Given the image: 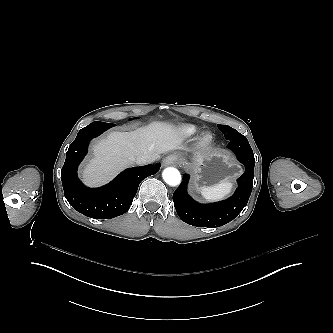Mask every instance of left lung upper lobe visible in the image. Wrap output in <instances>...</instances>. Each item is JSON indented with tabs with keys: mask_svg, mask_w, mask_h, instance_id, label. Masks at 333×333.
<instances>
[{
	"mask_svg": "<svg viewBox=\"0 0 333 333\" xmlns=\"http://www.w3.org/2000/svg\"><path fill=\"white\" fill-rule=\"evenodd\" d=\"M218 128L222 131L224 136H229L235 130L227 125H218Z\"/></svg>",
	"mask_w": 333,
	"mask_h": 333,
	"instance_id": "left-lung-upper-lobe-1",
	"label": "left lung upper lobe"
}]
</instances>
